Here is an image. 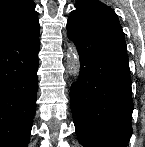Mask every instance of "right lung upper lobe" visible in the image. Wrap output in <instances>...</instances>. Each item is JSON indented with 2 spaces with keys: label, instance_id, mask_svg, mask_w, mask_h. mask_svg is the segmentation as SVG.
<instances>
[{
  "label": "right lung upper lobe",
  "instance_id": "right-lung-upper-lobe-1",
  "mask_svg": "<svg viewBox=\"0 0 145 147\" xmlns=\"http://www.w3.org/2000/svg\"><path fill=\"white\" fill-rule=\"evenodd\" d=\"M38 25L32 0H0V43Z\"/></svg>",
  "mask_w": 145,
  "mask_h": 147
}]
</instances>
